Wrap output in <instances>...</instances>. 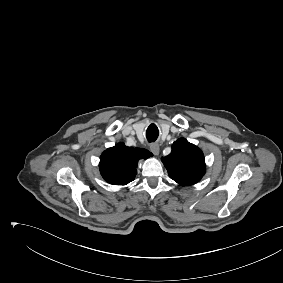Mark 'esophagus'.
<instances>
[{
    "instance_id": "obj_1",
    "label": "esophagus",
    "mask_w": 283,
    "mask_h": 283,
    "mask_svg": "<svg viewBox=\"0 0 283 283\" xmlns=\"http://www.w3.org/2000/svg\"><path fill=\"white\" fill-rule=\"evenodd\" d=\"M150 151L154 154V155H159L160 152V148L158 144H151L150 145Z\"/></svg>"
}]
</instances>
